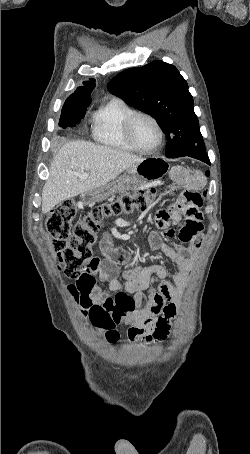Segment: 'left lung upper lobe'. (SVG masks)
<instances>
[{
    "label": "left lung upper lobe",
    "instance_id": "1",
    "mask_svg": "<svg viewBox=\"0 0 250 454\" xmlns=\"http://www.w3.org/2000/svg\"><path fill=\"white\" fill-rule=\"evenodd\" d=\"M108 89L155 118L167 136L166 157L204 150L188 84L175 66L153 61L115 76Z\"/></svg>",
    "mask_w": 250,
    "mask_h": 454
}]
</instances>
